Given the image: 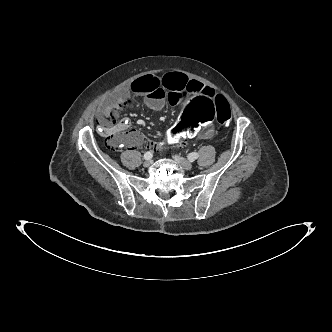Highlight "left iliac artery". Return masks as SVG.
Segmentation results:
<instances>
[{"instance_id":"obj_1","label":"left iliac artery","mask_w":332,"mask_h":332,"mask_svg":"<svg viewBox=\"0 0 332 332\" xmlns=\"http://www.w3.org/2000/svg\"><path fill=\"white\" fill-rule=\"evenodd\" d=\"M199 157L198 153L196 152H192V153H189L187 158L193 162L194 160H196L197 158Z\"/></svg>"}]
</instances>
